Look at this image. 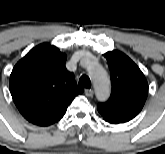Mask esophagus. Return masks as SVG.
Returning a JSON list of instances; mask_svg holds the SVG:
<instances>
[{"label":"esophagus","mask_w":165,"mask_h":154,"mask_svg":"<svg viewBox=\"0 0 165 154\" xmlns=\"http://www.w3.org/2000/svg\"><path fill=\"white\" fill-rule=\"evenodd\" d=\"M85 94H86V96H88V97H92L93 94H94V91H93L92 89H86V90H85Z\"/></svg>","instance_id":"1"}]
</instances>
